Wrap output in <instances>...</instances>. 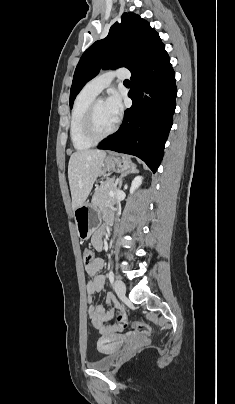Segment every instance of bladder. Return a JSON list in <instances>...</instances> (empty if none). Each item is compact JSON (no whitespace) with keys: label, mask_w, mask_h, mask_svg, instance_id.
I'll use <instances>...</instances> for the list:
<instances>
[{"label":"bladder","mask_w":235,"mask_h":404,"mask_svg":"<svg viewBox=\"0 0 235 404\" xmlns=\"http://www.w3.org/2000/svg\"><path fill=\"white\" fill-rule=\"evenodd\" d=\"M98 350L104 355L96 361L88 363L87 365L98 371H107L111 369L119 356L118 349L110 351L98 346Z\"/></svg>","instance_id":"1"}]
</instances>
